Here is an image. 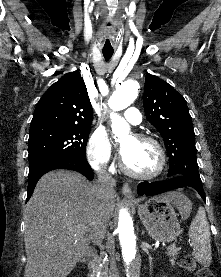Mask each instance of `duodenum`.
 Here are the masks:
<instances>
[{
  "instance_id": "duodenum-1",
  "label": "duodenum",
  "mask_w": 221,
  "mask_h": 277,
  "mask_svg": "<svg viewBox=\"0 0 221 277\" xmlns=\"http://www.w3.org/2000/svg\"><path fill=\"white\" fill-rule=\"evenodd\" d=\"M100 265V257L94 255L88 263V277H94Z\"/></svg>"
}]
</instances>
